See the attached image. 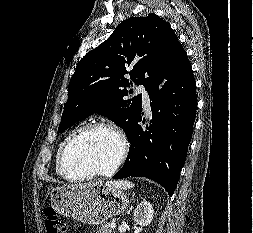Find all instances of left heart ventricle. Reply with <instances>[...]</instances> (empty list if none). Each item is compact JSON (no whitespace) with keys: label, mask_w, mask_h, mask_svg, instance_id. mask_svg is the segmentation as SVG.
I'll return each instance as SVG.
<instances>
[{"label":"left heart ventricle","mask_w":253,"mask_h":233,"mask_svg":"<svg viewBox=\"0 0 253 233\" xmlns=\"http://www.w3.org/2000/svg\"><path fill=\"white\" fill-rule=\"evenodd\" d=\"M120 150L117 137L107 130H93L78 138L70 147L65 161L66 173L84 175L93 170H107Z\"/></svg>","instance_id":"left-heart-ventricle-1"}]
</instances>
